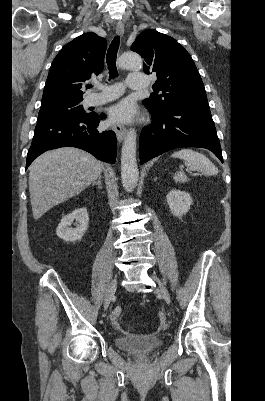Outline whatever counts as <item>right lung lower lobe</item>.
Instances as JSON below:
<instances>
[{"label":"right lung lower lobe","instance_id":"98d812e1","mask_svg":"<svg viewBox=\"0 0 265 401\" xmlns=\"http://www.w3.org/2000/svg\"><path fill=\"white\" fill-rule=\"evenodd\" d=\"M104 114L95 112L84 116H49L37 121L26 169L32 161L47 150L72 146L93 154L99 160L114 163L116 135L113 131L97 130Z\"/></svg>","mask_w":265,"mask_h":401}]
</instances>
